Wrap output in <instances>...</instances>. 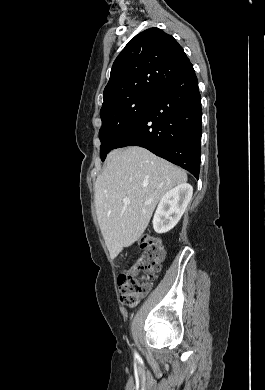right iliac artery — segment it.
Listing matches in <instances>:
<instances>
[{
	"label": "right iliac artery",
	"mask_w": 265,
	"mask_h": 390,
	"mask_svg": "<svg viewBox=\"0 0 265 390\" xmlns=\"http://www.w3.org/2000/svg\"><path fill=\"white\" fill-rule=\"evenodd\" d=\"M135 358H139V355L135 352Z\"/></svg>",
	"instance_id": "obj_1"
}]
</instances>
